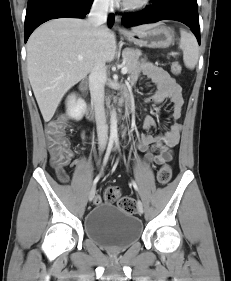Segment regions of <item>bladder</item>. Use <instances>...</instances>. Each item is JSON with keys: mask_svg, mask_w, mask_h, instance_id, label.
<instances>
[{"mask_svg": "<svg viewBox=\"0 0 231 281\" xmlns=\"http://www.w3.org/2000/svg\"><path fill=\"white\" fill-rule=\"evenodd\" d=\"M86 236L110 251H123L142 236L139 218L108 203L99 204L84 219Z\"/></svg>", "mask_w": 231, "mask_h": 281, "instance_id": "31cf9c89", "label": "bladder"}]
</instances>
